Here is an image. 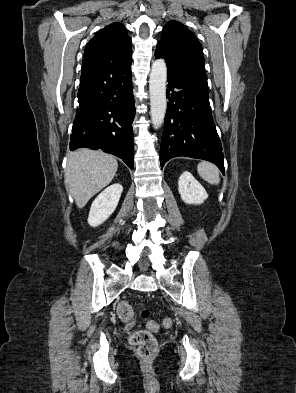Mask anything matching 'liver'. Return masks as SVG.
<instances>
[{
  "instance_id": "obj_1",
  "label": "liver",
  "mask_w": 296,
  "mask_h": 393,
  "mask_svg": "<svg viewBox=\"0 0 296 393\" xmlns=\"http://www.w3.org/2000/svg\"><path fill=\"white\" fill-rule=\"evenodd\" d=\"M118 168L116 159L102 151L80 149L68 155L65 185L78 208L106 187Z\"/></svg>"
}]
</instances>
